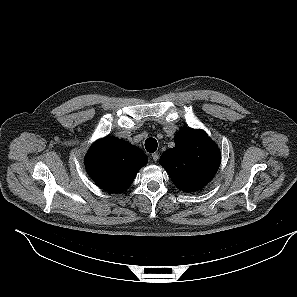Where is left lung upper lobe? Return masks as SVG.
Listing matches in <instances>:
<instances>
[{
	"label": "left lung upper lobe",
	"instance_id": "obj_1",
	"mask_svg": "<svg viewBox=\"0 0 297 297\" xmlns=\"http://www.w3.org/2000/svg\"><path fill=\"white\" fill-rule=\"evenodd\" d=\"M175 143V147L161 155V165L180 190L194 192L201 189L219 167L218 146L204 131L191 128L178 132Z\"/></svg>",
	"mask_w": 297,
	"mask_h": 297
}]
</instances>
